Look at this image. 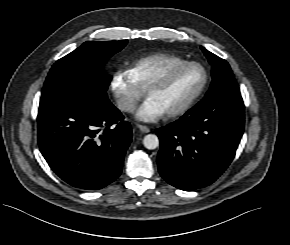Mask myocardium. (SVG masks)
<instances>
[{"instance_id": "myocardium-1", "label": "myocardium", "mask_w": 290, "mask_h": 245, "mask_svg": "<svg viewBox=\"0 0 290 245\" xmlns=\"http://www.w3.org/2000/svg\"><path fill=\"white\" fill-rule=\"evenodd\" d=\"M187 67H198L202 70L203 72V82L201 86L196 90V92L180 107L166 112L167 116L169 117H175L184 114L187 112L196 102L197 100L201 97V95L204 93L206 90L208 83H209V74L207 69L200 63L198 62H192V61H186L183 63L175 64L167 69L163 70L161 73L156 75L150 82L149 84L145 87V93L148 94L149 90H151L154 87L162 85L168 77L172 74L175 73L179 70H182Z\"/></svg>"}]
</instances>
